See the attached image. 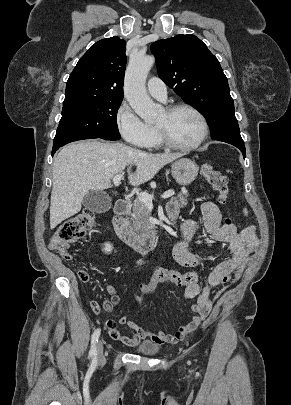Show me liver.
I'll return each instance as SVG.
<instances>
[{
  "label": "liver",
  "mask_w": 291,
  "mask_h": 405,
  "mask_svg": "<svg viewBox=\"0 0 291 405\" xmlns=\"http://www.w3.org/2000/svg\"><path fill=\"white\" fill-rule=\"evenodd\" d=\"M180 154H152L122 143L87 140L62 148L53 163L50 228L80 212L85 195L110 188L112 178L127 168L128 183L149 180ZM132 167H136L132 172Z\"/></svg>",
  "instance_id": "1"
}]
</instances>
